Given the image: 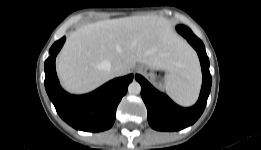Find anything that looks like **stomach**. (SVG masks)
<instances>
[{
	"mask_svg": "<svg viewBox=\"0 0 261 150\" xmlns=\"http://www.w3.org/2000/svg\"><path fill=\"white\" fill-rule=\"evenodd\" d=\"M172 75L170 72H167L166 74H162L160 69H152L150 68V72L147 74V76L150 78V80L156 84L159 87L166 86L168 77Z\"/></svg>",
	"mask_w": 261,
	"mask_h": 150,
	"instance_id": "stomach-1",
	"label": "stomach"
}]
</instances>
